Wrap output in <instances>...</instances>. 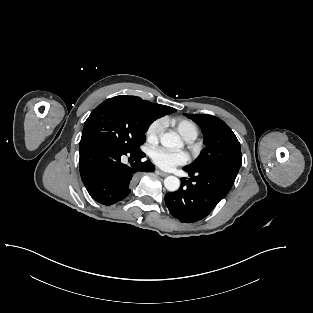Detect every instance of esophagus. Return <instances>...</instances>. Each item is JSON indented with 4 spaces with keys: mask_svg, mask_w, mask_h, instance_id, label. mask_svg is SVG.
<instances>
[{
    "mask_svg": "<svg viewBox=\"0 0 313 313\" xmlns=\"http://www.w3.org/2000/svg\"><path fill=\"white\" fill-rule=\"evenodd\" d=\"M157 173L159 174V175H161L162 177H166V176H168V173H166V172H163V171H161V170H157Z\"/></svg>",
    "mask_w": 313,
    "mask_h": 313,
    "instance_id": "esophagus-1",
    "label": "esophagus"
}]
</instances>
